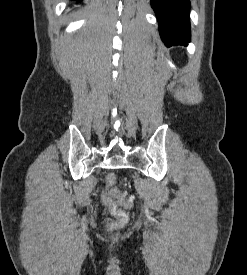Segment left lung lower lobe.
I'll use <instances>...</instances> for the list:
<instances>
[{
    "label": "left lung lower lobe",
    "mask_w": 247,
    "mask_h": 275,
    "mask_svg": "<svg viewBox=\"0 0 247 275\" xmlns=\"http://www.w3.org/2000/svg\"><path fill=\"white\" fill-rule=\"evenodd\" d=\"M167 47L187 46L190 42V0H151Z\"/></svg>",
    "instance_id": "0a47b994"
}]
</instances>
